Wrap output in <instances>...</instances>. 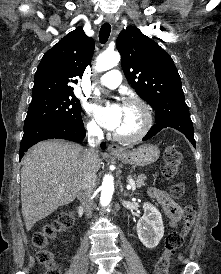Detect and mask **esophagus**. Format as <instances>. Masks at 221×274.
Masks as SVG:
<instances>
[{
	"mask_svg": "<svg viewBox=\"0 0 221 274\" xmlns=\"http://www.w3.org/2000/svg\"><path fill=\"white\" fill-rule=\"evenodd\" d=\"M105 21L108 22V23H112L114 21V17L112 15H107L105 17ZM107 149H108V152L111 153V154H117V153L122 152L120 147L118 145H115V144H110Z\"/></svg>",
	"mask_w": 221,
	"mask_h": 274,
	"instance_id": "esophagus-1",
	"label": "esophagus"
}]
</instances>
